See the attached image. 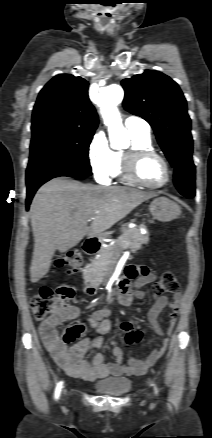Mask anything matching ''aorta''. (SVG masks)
I'll use <instances>...</instances> for the list:
<instances>
[{
	"label": "aorta",
	"instance_id": "1",
	"mask_svg": "<svg viewBox=\"0 0 212 438\" xmlns=\"http://www.w3.org/2000/svg\"><path fill=\"white\" fill-rule=\"evenodd\" d=\"M123 97L124 91L118 84H111L102 88L98 97V105L104 124L108 127L111 146L116 149L124 148L129 141L117 108Z\"/></svg>",
	"mask_w": 212,
	"mask_h": 438
}]
</instances>
